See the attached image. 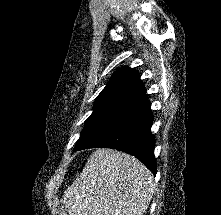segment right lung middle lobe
Returning a JSON list of instances; mask_svg holds the SVG:
<instances>
[{
    "mask_svg": "<svg viewBox=\"0 0 221 215\" xmlns=\"http://www.w3.org/2000/svg\"><path fill=\"white\" fill-rule=\"evenodd\" d=\"M120 119L122 118L118 116L91 114L85 121V126L75 147V151L99 137L101 134L115 125Z\"/></svg>",
    "mask_w": 221,
    "mask_h": 215,
    "instance_id": "obj_1",
    "label": "right lung middle lobe"
}]
</instances>
